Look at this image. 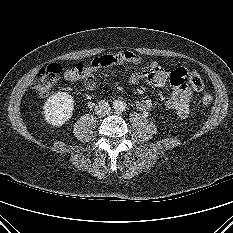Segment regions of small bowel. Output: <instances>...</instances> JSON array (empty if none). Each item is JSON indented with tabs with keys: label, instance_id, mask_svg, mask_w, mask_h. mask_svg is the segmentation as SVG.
<instances>
[{
	"label": "small bowel",
	"instance_id": "c3829d8e",
	"mask_svg": "<svg viewBox=\"0 0 233 233\" xmlns=\"http://www.w3.org/2000/svg\"><path fill=\"white\" fill-rule=\"evenodd\" d=\"M103 57L106 61L100 67L123 64L138 65L141 63L140 56L132 51L106 54L103 55ZM187 72L188 71L182 67L173 71H168L160 66L158 62L152 61L145 69L131 73L129 82L131 84L148 83L155 87L169 85L171 93L166 100V106L176 111L180 116H186L189 112L192 98V88L186 83ZM84 85L88 90H93L95 88L93 77L91 76L86 79ZM152 106L153 103L148 97H142L136 102L137 109L142 112L150 110Z\"/></svg>",
	"mask_w": 233,
	"mask_h": 233
}]
</instances>
